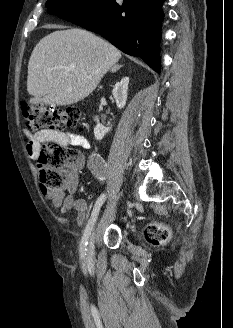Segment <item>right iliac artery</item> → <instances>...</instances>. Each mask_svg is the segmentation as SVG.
Returning <instances> with one entry per match:
<instances>
[{"label":"right iliac artery","instance_id":"right-iliac-artery-1","mask_svg":"<svg viewBox=\"0 0 233 328\" xmlns=\"http://www.w3.org/2000/svg\"><path fill=\"white\" fill-rule=\"evenodd\" d=\"M91 166H92V172L93 174L100 180H103V171L105 168V164L103 159L99 156V155H93L92 159H91ZM106 199V195L102 194L98 197L93 211L91 213L90 219L88 220L87 226L84 230V234L82 236L81 242H80V255L83 257L86 253V247L88 244V239L91 235V231L93 229L94 223L96 221L97 215L99 213L100 207L102 206V204L104 203Z\"/></svg>","mask_w":233,"mask_h":328}]
</instances>
